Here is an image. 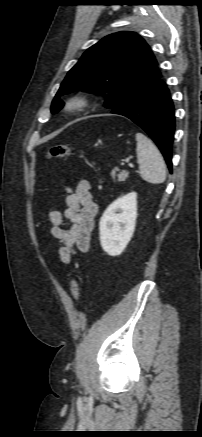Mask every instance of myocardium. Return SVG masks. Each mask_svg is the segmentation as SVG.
I'll list each match as a JSON object with an SVG mask.
<instances>
[{
  "instance_id": "f54148a6",
  "label": "myocardium",
  "mask_w": 202,
  "mask_h": 437,
  "mask_svg": "<svg viewBox=\"0 0 202 437\" xmlns=\"http://www.w3.org/2000/svg\"><path fill=\"white\" fill-rule=\"evenodd\" d=\"M88 104V99L82 94H74L70 96L64 104L66 112L73 113L83 109Z\"/></svg>"
}]
</instances>
